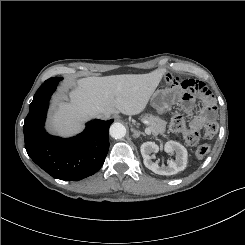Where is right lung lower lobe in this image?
Wrapping results in <instances>:
<instances>
[{
	"label": "right lung lower lobe",
	"instance_id": "right-lung-lower-lobe-1",
	"mask_svg": "<svg viewBox=\"0 0 245 245\" xmlns=\"http://www.w3.org/2000/svg\"><path fill=\"white\" fill-rule=\"evenodd\" d=\"M61 80L62 77H52L35 93L23 126L25 148L31 159L52 177L77 181L102 167L113 120L94 119L81 134L69 139L49 135L44 129L49 99Z\"/></svg>",
	"mask_w": 245,
	"mask_h": 245
}]
</instances>
